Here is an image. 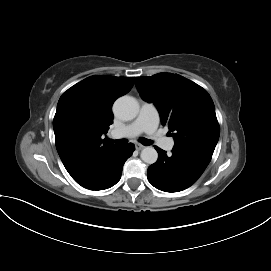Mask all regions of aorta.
I'll return each instance as SVG.
<instances>
[{"instance_id": "1", "label": "aorta", "mask_w": 271, "mask_h": 271, "mask_svg": "<svg viewBox=\"0 0 271 271\" xmlns=\"http://www.w3.org/2000/svg\"><path fill=\"white\" fill-rule=\"evenodd\" d=\"M113 110L118 118L128 121L138 115L139 104L133 97L122 96L115 101ZM140 157L145 163L153 164L157 161L158 153L153 147H145Z\"/></svg>"}]
</instances>
